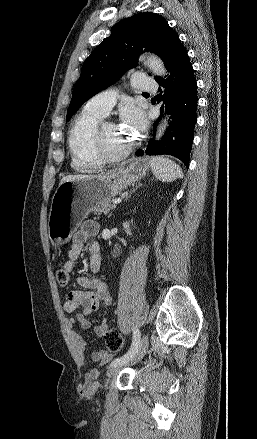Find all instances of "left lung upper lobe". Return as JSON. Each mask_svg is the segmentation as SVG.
<instances>
[{
  "label": "left lung upper lobe",
  "instance_id": "1",
  "mask_svg": "<svg viewBox=\"0 0 257 439\" xmlns=\"http://www.w3.org/2000/svg\"><path fill=\"white\" fill-rule=\"evenodd\" d=\"M178 35L160 15L144 12L118 22L85 60L67 110L66 122L92 96L136 66L139 53H156L166 65Z\"/></svg>",
  "mask_w": 257,
  "mask_h": 439
}]
</instances>
